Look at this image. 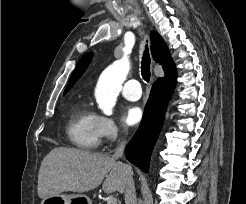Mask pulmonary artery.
<instances>
[{"mask_svg":"<svg viewBox=\"0 0 246 204\" xmlns=\"http://www.w3.org/2000/svg\"><path fill=\"white\" fill-rule=\"evenodd\" d=\"M142 94L141 86L138 80L131 79L128 80L122 89V95L130 101H136L140 99Z\"/></svg>","mask_w":246,"mask_h":204,"instance_id":"obj_1","label":"pulmonary artery"}]
</instances>
